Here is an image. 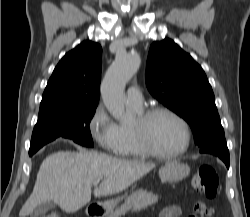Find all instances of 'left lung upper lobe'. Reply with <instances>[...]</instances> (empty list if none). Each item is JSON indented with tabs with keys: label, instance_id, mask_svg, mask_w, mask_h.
Instances as JSON below:
<instances>
[{
	"label": "left lung upper lobe",
	"instance_id": "left-lung-upper-lobe-1",
	"mask_svg": "<svg viewBox=\"0 0 250 217\" xmlns=\"http://www.w3.org/2000/svg\"><path fill=\"white\" fill-rule=\"evenodd\" d=\"M146 85L154 98L188 122L199 148L225 138L205 72L173 40L151 45Z\"/></svg>",
	"mask_w": 250,
	"mask_h": 217
}]
</instances>
